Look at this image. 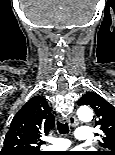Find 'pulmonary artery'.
Segmentation results:
<instances>
[{
	"label": "pulmonary artery",
	"mask_w": 115,
	"mask_h": 155,
	"mask_svg": "<svg viewBox=\"0 0 115 155\" xmlns=\"http://www.w3.org/2000/svg\"><path fill=\"white\" fill-rule=\"evenodd\" d=\"M75 138L79 141L89 142L91 138V130L86 126H81L75 130ZM54 146L52 149L54 150H64L67 149L71 143L68 139L58 138L53 141Z\"/></svg>",
	"instance_id": "obj_1"
}]
</instances>
